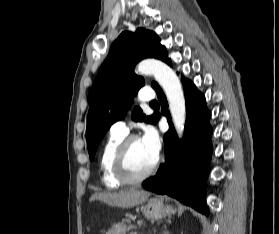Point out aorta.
I'll list each match as a JSON object with an SVG mask.
<instances>
[{"mask_svg": "<svg viewBox=\"0 0 279 234\" xmlns=\"http://www.w3.org/2000/svg\"><path fill=\"white\" fill-rule=\"evenodd\" d=\"M137 71L144 75H153L163 88L171 113V117L179 137H182L186 119V105L183 89L176 73L165 63L147 59L141 61Z\"/></svg>", "mask_w": 279, "mask_h": 234, "instance_id": "obj_1", "label": "aorta"}]
</instances>
